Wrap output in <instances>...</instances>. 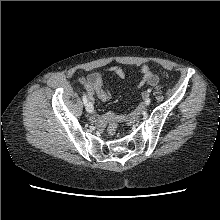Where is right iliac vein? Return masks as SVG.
Wrapping results in <instances>:
<instances>
[{
    "label": "right iliac vein",
    "instance_id": "obj_1",
    "mask_svg": "<svg viewBox=\"0 0 220 220\" xmlns=\"http://www.w3.org/2000/svg\"><path fill=\"white\" fill-rule=\"evenodd\" d=\"M86 110H87V112H89V113H92V112H93L94 108H93L92 103L89 102V103L86 104Z\"/></svg>",
    "mask_w": 220,
    "mask_h": 220
}]
</instances>
